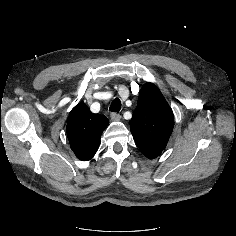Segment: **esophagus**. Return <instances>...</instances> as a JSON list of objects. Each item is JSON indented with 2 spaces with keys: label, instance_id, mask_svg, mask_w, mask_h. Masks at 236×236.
Here are the masks:
<instances>
[{
  "label": "esophagus",
  "instance_id": "esophagus-1",
  "mask_svg": "<svg viewBox=\"0 0 236 236\" xmlns=\"http://www.w3.org/2000/svg\"><path fill=\"white\" fill-rule=\"evenodd\" d=\"M110 117H111V119L114 120V121H118V120L121 119V115L118 114V113H115V112H112V113L110 114Z\"/></svg>",
  "mask_w": 236,
  "mask_h": 236
}]
</instances>
